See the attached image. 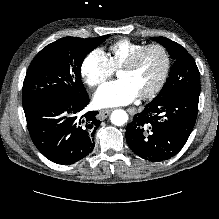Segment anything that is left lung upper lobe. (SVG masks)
I'll list each match as a JSON object with an SVG mask.
<instances>
[{"mask_svg":"<svg viewBox=\"0 0 219 219\" xmlns=\"http://www.w3.org/2000/svg\"><path fill=\"white\" fill-rule=\"evenodd\" d=\"M152 39L162 44L175 61L165 85L153 100L166 99L185 89H200L199 70L186 49L165 37H153Z\"/></svg>","mask_w":219,"mask_h":219,"instance_id":"obj_1","label":"left lung upper lobe"}]
</instances>
